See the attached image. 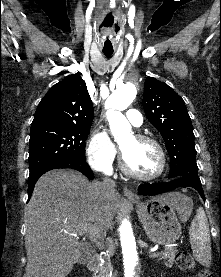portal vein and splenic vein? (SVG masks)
<instances>
[{"label": "portal vein and splenic vein", "instance_id": "obj_1", "mask_svg": "<svg viewBox=\"0 0 221 277\" xmlns=\"http://www.w3.org/2000/svg\"><path fill=\"white\" fill-rule=\"evenodd\" d=\"M83 233H88V234L91 235V237H93V238H95V239L98 238L99 240H101L100 234H99L94 228H92V227H86V228L84 229ZM75 236H77V235H75ZM98 243L100 244V241H99ZM170 249H171V247H170V246H167V247H166L163 251H161V252H154V253H152V254L150 255V257H156V256H158V255H160V254H163L165 251L170 250Z\"/></svg>", "mask_w": 221, "mask_h": 277}]
</instances>
